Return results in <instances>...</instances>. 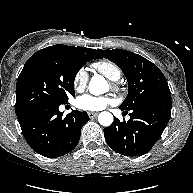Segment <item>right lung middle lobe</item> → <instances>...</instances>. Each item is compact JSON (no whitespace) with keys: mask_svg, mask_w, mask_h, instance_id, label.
<instances>
[{"mask_svg":"<svg viewBox=\"0 0 193 193\" xmlns=\"http://www.w3.org/2000/svg\"><path fill=\"white\" fill-rule=\"evenodd\" d=\"M91 58L66 53H35L25 63L16 85V115L43 103L65 104L74 79Z\"/></svg>","mask_w":193,"mask_h":193,"instance_id":"right-lung-middle-lobe-1","label":"right lung middle lobe"}]
</instances>
